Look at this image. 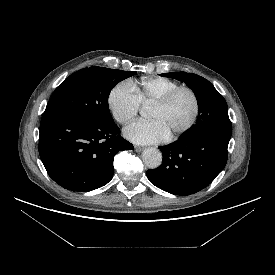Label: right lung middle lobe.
<instances>
[{"mask_svg":"<svg viewBox=\"0 0 275 275\" xmlns=\"http://www.w3.org/2000/svg\"><path fill=\"white\" fill-rule=\"evenodd\" d=\"M135 73L103 67L79 70L56 88L44 115L68 113L113 123L108 106L111 89Z\"/></svg>","mask_w":275,"mask_h":275,"instance_id":"right-lung-middle-lobe-1","label":"right lung middle lobe"}]
</instances>
